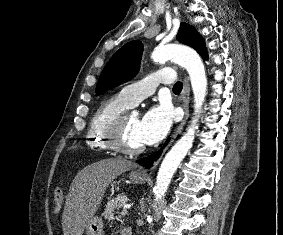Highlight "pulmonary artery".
Segmentation results:
<instances>
[{"label":"pulmonary artery","instance_id":"1","mask_svg":"<svg viewBox=\"0 0 283 235\" xmlns=\"http://www.w3.org/2000/svg\"><path fill=\"white\" fill-rule=\"evenodd\" d=\"M174 79V70L163 68L136 83L123 87L120 94L131 106H135L152 95L159 84H171Z\"/></svg>","mask_w":283,"mask_h":235}]
</instances>
